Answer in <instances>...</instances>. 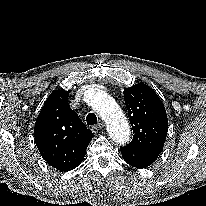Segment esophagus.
<instances>
[{"mask_svg": "<svg viewBox=\"0 0 206 206\" xmlns=\"http://www.w3.org/2000/svg\"><path fill=\"white\" fill-rule=\"evenodd\" d=\"M104 128V124L103 123H99L97 125L92 126V131L94 133H97L98 131L102 130Z\"/></svg>", "mask_w": 206, "mask_h": 206, "instance_id": "obj_1", "label": "esophagus"}]
</instances>
